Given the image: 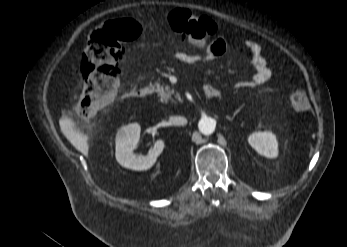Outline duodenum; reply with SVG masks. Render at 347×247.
<instances>
[{"mask_svg": "<svg viewBox=\"0 0 347 247\" xmlns=\"http://www.w3.org/2000/svg\"><path fill=\"white\" fill-rule=\"evenodd\" d=\"M151 89L149 87H140V88H133L127 92V95L129 97H137V98H143L150 94ZM218 92L212 88V87H206L204 89V96L207 99H211L216 97Z\"/></svg>", "mask_w": 347, "mask_h": 247, "instance_id": "obj_1", "label": "duodenum"}]
</instances>
